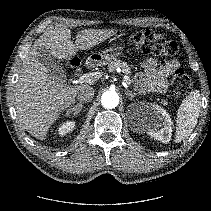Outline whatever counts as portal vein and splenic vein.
Masks as SVG:
<instances>
[{"label": "portal vein and splenic vein", "instance_id": "18ae733b", "mask_svg": "<svg viewBox=\"0 0 211 211\" xmlns=\"http://www.w3.org/2000/svg\"><path fill=\"white\" fill-rule=\"evenodd\" d=\"M98 73H88V74H84L82 76L79 77V82H92L94 81L95 78H97ZM123 80L126 82L127 85L131 84V80L127 75L123 76Z\"/></svg>", "mask_w": 211, "mask_h": 211}]
</instances>
